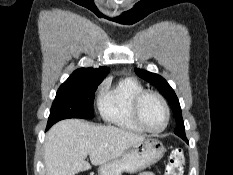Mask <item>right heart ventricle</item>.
<instances>
[{
	"label": "right heart ventricle",
	"instance_id": "e07e8e85",
	"mask_svg": "<svg viewBox=\"0 0 233 175\" xmlns=\"http://www.w3.org/2000/svg\"><path fill=\"white\" fill-rule=\"evenodd\" d=\"M143 90V85L133 77L122 78L114 85L106 83L97 100L100 116L105 122L121 130L143 132L131 112L134 97Z\"/></svg>",
	"mask_w": 233,
	"mask_h": 175
}]
</instances>
